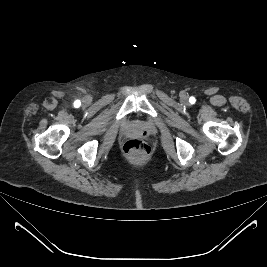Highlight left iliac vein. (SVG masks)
<instances>
[{"label": "left iliac vein", "mask_w": 267, "mask_h": 267, "mask_svg": "<svg viewBox=\"0 0 267 267\" xmlns=\"http://www.w3.org/2000/svg\"><path fill=\"white\" fill-rule=\"evenodd\" d=\"M181 101H182L183 103H187V97H186L185 95H182V96H181Z\"/></svg>", "instance_id": "obj_1"}]
</instances>
